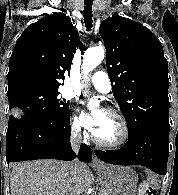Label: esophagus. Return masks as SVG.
<instances>
[{
	"mask_svg": "<svg viewBox=\"0 0 178 195\" xmlns=\"http://www.w3.org/2000/svg\"><path fill=\"white\" fill-rule=\"evenodd\" d=\"M92 166H103V163L95 155H93Z\"/></svg>",
	"mask_w": 178,
	"mask_h": 195,
	"instance_id": "esophagus-1",
	"label": "esophagus"
}]
</instances>
